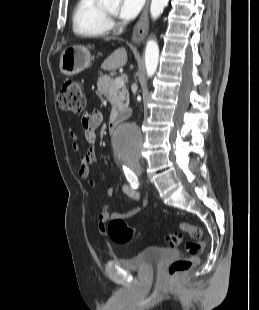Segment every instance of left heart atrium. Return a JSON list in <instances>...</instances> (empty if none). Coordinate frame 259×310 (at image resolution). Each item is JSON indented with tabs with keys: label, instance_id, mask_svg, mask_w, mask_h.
Wrapping results in <instances>:
<instances>
[{
	"label": "left heart atrium",
	"instance_id": "left-heart-atrium-1",
	"mask_svg": "<svg viewBox=\"0 0 259 310\" xmlns=\"http://www.w3.org/2000/svg\"><path fill=\"white\" fill-rule=\"evenodd\" d=\"M143 4L144 0H121L117 14L122 20H132L139 14Z\"/></svg>",
	"mask_w": 259,
	"mask_h": 310
}]
</instances>
